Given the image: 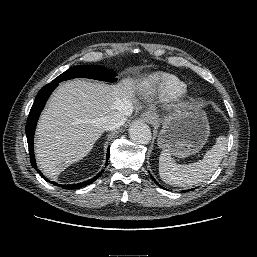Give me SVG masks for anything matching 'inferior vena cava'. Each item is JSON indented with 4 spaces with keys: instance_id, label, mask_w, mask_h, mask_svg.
<instances>
[{
    "instance_id": "obj_1",
    "label": "inferior vena cava",
    "mask_w": 257,
    "mask_h": 257,
    "mask_svg": "<svg viewBox=\"0 0 257 257\" xmlns=\"http://www.w3.org/2000/svg\"><path fill=\"white\" fill-rule=\"evenodd\" d=\"M133 111L132 106H123L120 111H113L101 118V126L106 131L116 130L121 127Z\"/></svg>"
}]
</instances>
